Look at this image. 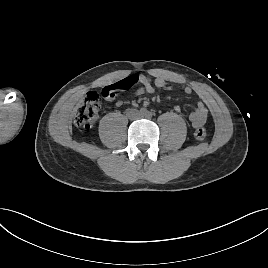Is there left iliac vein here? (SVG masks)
Masks as SVG:
<instances>
[{
	"label": "left iliac vein",
	"instance_id": "4c4485c4",
	"mask_svg": "<svg viewBox=\"0 0 268 268\" xmlns=\"http://www.w3.org/2000/svg\"><path fill=\"white\" fill-rule=\"evenodd\" d=\"M140 117L143 118V117H145V115H142V114H141Z\"/></svg>",
	"mask_w": 268,
	"mask_h": 268
}]
</instances>
